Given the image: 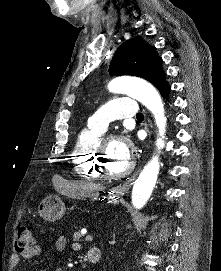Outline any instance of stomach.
<instances>
[{
	"instance_id": "obj_1",
	"label": "stomach",
	"mask_w": 221,
	"mask_h": 271,
	"mask_svg": "<svg viewBox=\"0 0 221 271\" xmlns=\"http://www.w3.org/2000/svg\"><path fill=\"white\" fill-rule=\"evenodd\" d=\"M120 193L112 191L110 195V203H118ZM65 205L62 201V197H44L43 205L39 209L41 217L48 219V221H55L58 217L64 215Z\"/></svg>"
}]
</instances>
